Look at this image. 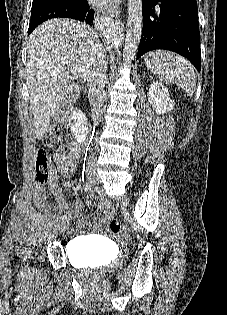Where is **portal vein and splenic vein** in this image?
Returning a JSON list of instances; mask_svg holds the SVG:
<instances>
[{
	"mask_svg": "<svg viewBox=\"0 0 227 315\" xmlns=\"http://www.w3.org/2000/svg\"><path fill=\"white\" fill-rule=\"evenodd\" d=\"M71 72L73 73H78L81 75V77L83 78H87L88 77V73L81 67H72L71 68Z\"/></svg>",
	"mask_w": 227,
	"mask_h": 315,
	"instance_id": "obj_1",
	"label": "portal vein and splenic vein"
}]
</instances>
